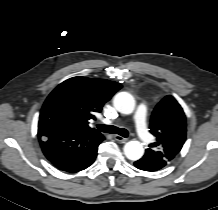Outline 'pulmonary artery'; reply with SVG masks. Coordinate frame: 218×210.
<instances>
[{
    "instance_id": "e3ab8cb5",
    "label": "pulmonary artery",
    "mask_w": 218,
    "mask_h": 210,
    "mask_svg": "<svg viewBox=\"0 0 218 210\" xmlns=\"http://www.w3.org/2000/svg\"><path fill=\"white\" fill-rule=\"evenodd\" d=\"M146 114V105L142 103L138 106L135 114V125L140 139L145 143H149L151 140V136L146 127Z\"/></svg>"
}]
</instances>
